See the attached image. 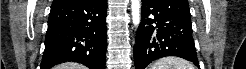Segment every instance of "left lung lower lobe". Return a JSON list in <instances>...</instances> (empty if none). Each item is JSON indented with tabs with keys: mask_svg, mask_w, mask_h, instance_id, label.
Here are the masks:
<instances>
[{
	"mask_svg": "<svg viewBox=\"0 0 246 69\" xmlns=\"http://www.w3.org/2000/svg\"><path fill=\"white\" fill-rule=\"evenodd\" d=\"M191 22L169 14L153 0H142L141 23L134 46L135 69H145L151 62L177 56L199 67Z\"/></svg>",
	"mask_w": 246,
	"mask_h": 69,
	"instance_id": "0a47b994",
	"label": "left lung lower lobe"
}]
</instances>
